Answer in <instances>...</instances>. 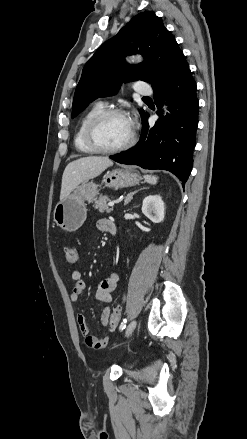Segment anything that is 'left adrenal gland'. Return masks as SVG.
<instances>
[{
	"label": "left adrenal gland",
	"mask_w": 247,
	"mask_h": 439,
	"mask_svg": "<svg viewBox=\"0 0 247 439\" xmlns=\"http://www.w3.org/2000/svg\"><path fill=\"white\" fill-rule=\"evenodd\" d=\"M144 189H147V187L140 188V189L135 190L134 192L128 194V196L125 198L124 205H127V204L132 200L133 196H134L137 192H139L140 190H144Z\"/></svg>",
	"instance_id": "a2214340"
}]
</instances>
